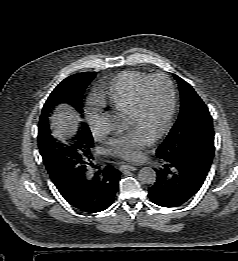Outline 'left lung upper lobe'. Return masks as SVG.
Instances as JSON below:
<instances>
[{"label": "left lung upper lobe", "mask_w": 238, "mask_h": 261, "mask_svg": "<svg viewBox=\"0 0 238 261\" xmlns=\"http://www.w3.org/2000/svg\"><path fill=\"white\" fill-rule=\"evenodd\" d=\"M174 78L180 91V113L156 155L160 159H193L211 165L215 150L212 117L192 86L177 75Z\"/></svg>", "instance_id": "1"}]
</instances>
